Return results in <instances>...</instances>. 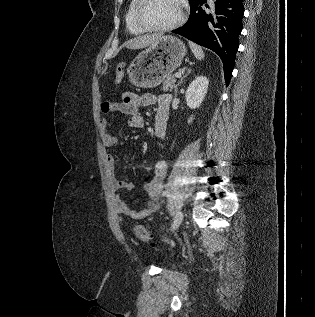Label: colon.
<instances>
[{
    "label": "colon",
    "instance_id": "colon-1",
    "mask_svg": "<svg viewBox=\"0 0 315 317\" xmlns=\"http://www.w3.org/2000/svg\"><path fill=\"white\" fill-rule=\"evenodd\" d=\"M124 73H125V65L124 63H120L115 71V83L119 84L123 77H124ZM135 234L136 236L143 242L145 243H149L151 241L150 235L148 233V231L145 229L144 226L142 225H137L135 227Z\"/></svg>",
    "mask_w": 315,
    "mask_h": 317
}]
</instances>
